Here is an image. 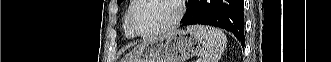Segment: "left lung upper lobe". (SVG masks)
Segmentation results:
<instances>
[{"label":"left lung upper lobe","instance_id":"left-lung-upper-lobe-1","mask_svg":"<svg viewBox=\"0 0 331 62\" xmlns=\"http://www.w3.org/2000/svg\"><path fill=\"white\" fill-rule=\"evenodd\" d=\"M122 0H118V3H120Z\"/></svg>","mask_w":331,"mask_h":62}]
</instances>
